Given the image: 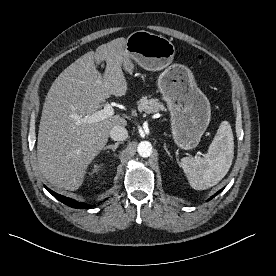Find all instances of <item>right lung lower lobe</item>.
Wrapping results in <instances>:
<instances>
[{
	"mask_svg": "<svg viewBox=\"0 0 276 276\" xmlns=\"http://www.w3.org/2000/svg\"><path fill=\"white\" fill-rule=\"evenodd\" d=\"M45 188L48 190V192H50L57 200L61 201L62 203L72 207V208H79V209H83V208H89L90 205H86L84 203L81 202H77L73 199H70L68 197L62 196L60 194L55 193L54 191L50 190L49 188H47L45 186Z\"/></svg>",
	"mask_w": 276,
	"mask_h": 276,
	"instance_id": "right-lung-lower-lobe-1",
	"label": "right lung lower lobe"
}]
</instances>
